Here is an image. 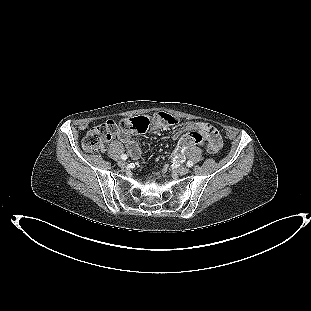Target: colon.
Masks as SVG:
<instances>
[{"label": "colon", "mask_w": 311, "mask_h": 311, "mask_svg": "<svg viewBox=\"0 0 311 311\" xmlns=\"http://www.w3.org/2000/svg\"><path fill=\"white\" fill-rule=\"evenodd\" d=\"M156 126H176L179 120L171 114L159 112L155 114L152 120L147 116H137L132 118H124L121 120H111L103 124L91 128L83 138V148L89 152H100L106 147L110 141L119 132H135L141 133L151 125ZM202 137L197 132H191L179 142L180 148L200 143Z\"/></svg>", "instance_id": "colon-1"}]
</instances>
